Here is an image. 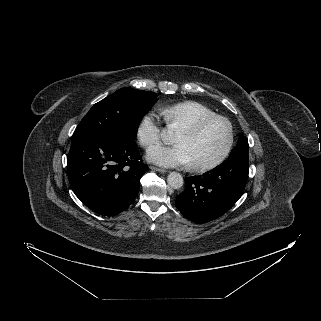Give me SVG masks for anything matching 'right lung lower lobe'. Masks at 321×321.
I'll return each instance as SVG.
<instances>
[{
    "instance_id": "obj_1",
    "label": "right lung lower lobe",
    "mask_w": 321,
    "mask_h": 321,
    "mask_svg": "<svg viewBox=\"0 0 321 321\" xmlns=\"http://www.w3.org/2000/svg\"><path fill=\"white\" fill-rule=\"evenodd\" d=\"M135 140L118 137L73 138L67 156L73 192L97 214L115 216L136 198L148 166Z\"/></svg>"
}]
</instances>
